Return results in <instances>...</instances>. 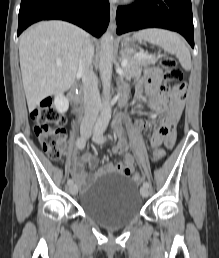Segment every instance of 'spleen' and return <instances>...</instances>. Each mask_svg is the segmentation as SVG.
<instances>
[{"mask_svg":"<svg viewBox=\"0 0 219 258\" xmlns=\"http://www.w3.org/2000/svg\"><path fill=\"white\" fill-rule=\"evenodd\" d=\"M133 39L138 41L144 40L157 45L165 51L175 54L185 70L191 68L190 52L177 33L164 29L150 28L136 32L133 35Z\"/></svg>","mask_w":219,"mask_h":258,"instance_id":"3e777b00","label":"spleen"}]
</instances>
